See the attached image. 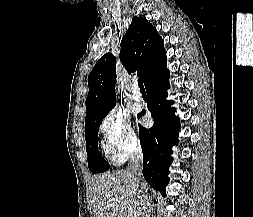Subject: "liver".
Returning a JSON list of instances; mask_svg holds the SVG:
<instances>
[{
	"label": "liver",
	"instance_id": "liver-1",
	"mask_svg": "<svg viewBox=\"0 0 253 217\" xmlns=\"http://www.w3.org/2000/svg\"><path fill=\"white\" fill-rule=\"evenodd\" d=\"M143 183L146 186L145 206L151 208V201L148 200L150 188L146 182ZM135 188V182L127 170L94 176L90 201L94 217H141L142 207Z\"/></svg>",
	"mask_w": 253,
	"mask_h": 217
}]
</instances>
